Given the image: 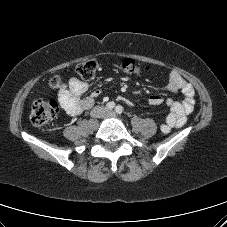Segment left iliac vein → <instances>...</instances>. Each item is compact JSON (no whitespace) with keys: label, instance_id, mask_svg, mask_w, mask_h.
<instances>
[{"label":"left iliac vein","instance_id":"obj_1","mask_svg":"<svg viewBox=\"0 0 227 227\" xmlns=\"http://www.w3.org/2000/svg\"><path fill=\"white\" fill-rule=\"evenodd\" d=\"M107 115H108L109 117H113V116H114V113H113V111H108V112H107Z\"/></svg>","mask_w":227,"mask_h":227}]
</instances>
